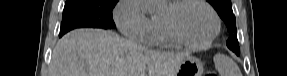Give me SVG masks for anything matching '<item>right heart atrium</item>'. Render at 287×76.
Listing matches in <instances>:
<instances>
[{
  "label": "right heart atrium",
  "instance_id": "right-heart-atrium-1",
  "mask_svg": "<svg viewBox=\"0 0 287 76\" xmlns=\"http://www.w3.org/2000/svg\"><path fill=\"white\" fill-rule=\"evenodd\" d=\"M114 21L120 32L139 43L151 37V20L145 15L140 0H120L114 10Z\"/></svg>",
  "mask_w": 287,
  "mask_h": 76
}]
</instances>
